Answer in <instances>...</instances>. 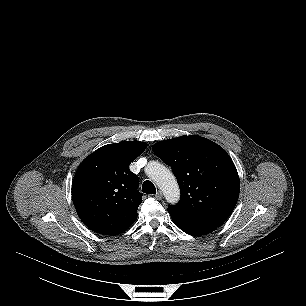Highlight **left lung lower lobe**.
<instances>
[{
	"label": "left lung lower lobe",
	"instance_id": "0a47b994",
	"mask_svg": "<svg viewBox=\"0 0 306 306\" xmlns=\"http://www.w3.org/2000/svg\"><path fill=\"white\" fill-rule=\"evenodd\" d=\"M173 222L184 232L192 236H200L213 232L216 228L196 226L177 219L171 215Z\"/></svg>",
	"mask_w": 306,
	"mask_h": 306
}]
</instances>
